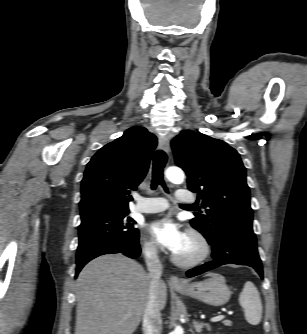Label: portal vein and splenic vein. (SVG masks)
Here are the masks:
<instances>
[{
    "label": "portal vein and splenic vein",
    "instance_id": "1",
    "mask_svg": "<svg viewBox=\"0 0 307 334\" xmlns=\"http://www.w3.org/2000/svg\"><path fill=\"white\" fill-rule=\"evenodd\" d=\"M131 314H127V316H130ZM225 318L224 315H218V316H215L213 318L210 319L211 322H217V321H221Z\"/></svg>",
    "mask_w": 307,
    "mask_h": 334
}]
</instances>
